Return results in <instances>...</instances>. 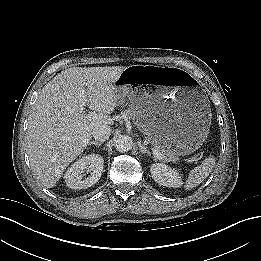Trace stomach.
<instances>
[{
    "mask_svg": "<svg viewBox=\"0 0 261 261\" xmlns=\"http://www.w3.org/2000/svg\"><path fill=\"white\" fill-rule=\"evenodd\" d=\"M145 74L171 78L155 85L154 91L133 87ZM117 103L124 97L142 120L141 128L154 145L169 148L176 156L193 153L206 139L211 114L208 99L197 81L173 67L133 65L117 80Z\"/></svg>",
    "mask_w": 261,
    "mask_h": 261,
    "instance_id": "0dacf381",
    "label": "stomach"
}]
</instances>
